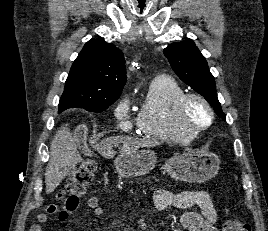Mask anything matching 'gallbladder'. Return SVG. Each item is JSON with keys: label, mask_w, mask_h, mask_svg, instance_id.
<instances>
[{"label": "gallbladder", "mask_w": 268, "mask_h": 231, "mask_svg": "<svg viewBox=\"0 0 268 231\" xmlns=\"http://www.w3.org/2000/svg\"><path fill=\"white\" fill-rule=\"evenodd\" d=\"M78 146H79V149H80L84 154H86V155H90V154H91V151H90L88 148H86L82 142H79V143H78Z\"/></svg>", "instance_id": "bac80fb5"}]
</instances>
